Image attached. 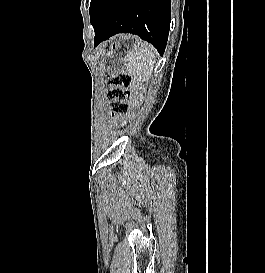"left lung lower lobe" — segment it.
Listing matches in <instances>:
<instances>
[{
    "label": "left lung lower lobe",
    "instance_id": "1",
    "mask_svg": "<svg viewBox=\"0 0 265 273\" xmlns=\"http://www.w3.org/2000/svg\"><path fill=\"white\" fill-rule=\"evenodd\" d=\"M90 7L104 12L94 27V46L117 33H132L153 44L162 55L168 40L171 0H91Z\"/></svg>",
    "mask_w": 265,
    "mask_h": 273
}]
</instances>
